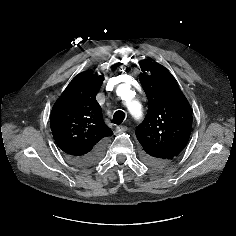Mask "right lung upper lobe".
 Returning a JSON list of instances; mask_svg holds the SVG:
<instances>
[{"instance_id": "obj_1", "label": "right lung upper lobe", "mask_w": 236, "mask_h": 236, "mask_svg": "<svg viewBox=\"0 0 236 236\" xmlns=\"http://www.w3.org/2000/svg\"><path fill=\"white\" fill-rule=\"evenodd\" d=\"M103 76L78 74L55 102L50 126L54 140L67 156H82L111 136L96 101Z\"/></svg>"}]
</instances>
